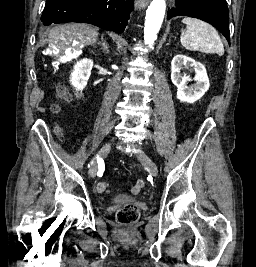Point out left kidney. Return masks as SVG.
I'll return each mask as SVG.
<instances>
[{
	"label": "left kidney",
	"instance_id": "obj_1",
	"mask_svg": "<svg viewBox=\"0 0 256 267\" xmlns=\"http://www.w3.org/2000/svg\"><path fill=\"white\" fill-rule=\"evenodd\" d=\"M182 68H193L195 84L188 86V82H192V78L182 74ZM171 80L174 86H177L178 100L180 102H188V104H193V102L200 100L209 88V78L205 66L200 62H195L189 56H183V54H177L171 62Z\"/></svg>",
	"mask_w": 256,
	"mask_h": 267
}]
</instances>
